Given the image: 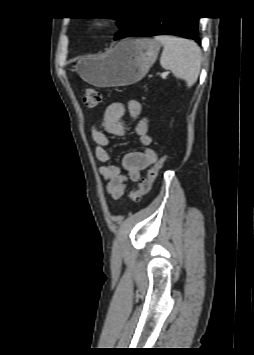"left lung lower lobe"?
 <instances>
[{
	"instance_id": "left-lung-lower-lobe-1",
	"label": "left lung lower lobe",
	"mask_w": 254,
	"mask_h": 355,
	"mask_svg": "<svg viewBox=\"0 0 254 355\" xmlns=\"http://www.w3.org/2000/svg\"><path fill=\"white\" fill-rule=\"evenodd\" d=\"M198 17L137 18L134 26L121 38L154 35H177L200 44Z\"/></svg>"
}]
</instances>
